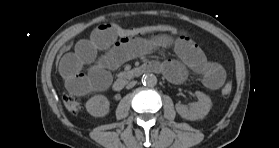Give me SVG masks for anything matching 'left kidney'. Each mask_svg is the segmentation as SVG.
Returning a JSON list of instances; mask_svg holds the SVG:
<instances>
[{"instance_id":"left-kidney-1","label":"left kidney","mask_w":279,"mask_h":148,"mask_svg":"<svg viewBox=\"0 0 279 148\" xmlns=\"http://www.w3.org/2000/svg\"><path fill=\"white\" fill-rule=\"evenodd\" d=\"M195 95L198 102L192 103L190 108L180 103L176 104V111L182 118L195 121L203 119L209 113L212 107L210 97L200 91H196Z\"/></svg>"}]
</instances>
